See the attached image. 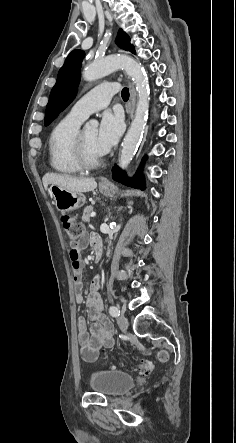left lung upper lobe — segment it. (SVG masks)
<instances>
[{
  "mask_svg": "<svg viewBox=\"0 0 236 443\" xmlns=\"http://www.w3.org/2000/svg\"><path fill=\"white\" fill-rule=\"evenodd\" d=\"M116 43L120 48L135 53L134 46L130 43L129 36L122 29L118 32ZM83 58V51L73 50L59 70L56 84L51 90L50 99L46 107L44 120L46 126L49 125L51 121H53L74 99L80 81V69Z\"/></svg>",
  "mask_w": 236,
  "mask_h": 443,
  "instance_id": "5c2ea615",
  "label": "left lung upper lobe"
}]
</instances>
